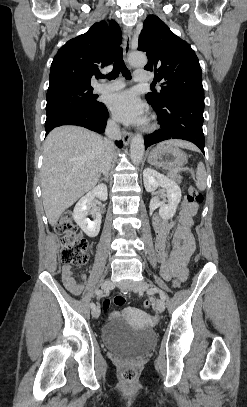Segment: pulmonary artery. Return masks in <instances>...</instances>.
<instances>
[{"label": "pulmonary artery", "instance_id": "1", "mask_svg": "<svg viewBox=\"0 0 247 407\" xmlns=\"http://www.w3.org/2000/svg\"><path fill=\"white\" fill-rule=\"evenodd\" d=\"M151 80V76L148 72L142 70H136L134 73V81L137 83H147ZM124 82L120 80H114L111 82H100L95 85L96 92H111L124 88Z\"/></svg>", "mask_w": 247, "mask_h": 407}]
</instances>
